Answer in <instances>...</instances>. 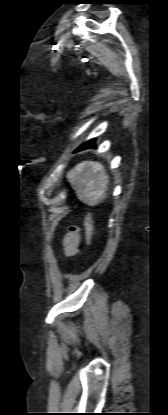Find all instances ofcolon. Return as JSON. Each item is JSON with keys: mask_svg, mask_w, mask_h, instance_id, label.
Instances as JSON below:
<instances>
[{"mask_svg": "<svg viewBox=\"0 0 168 415\" xmlns=\"http://www.w3.org/2000/svg\"><path fill=\"white\" fill-rule=\"evenodd\" d=\"M86 237L89 245H92L94 238V225L90 214H86L85 220Z\"/></svg>", "mask_w": 168, "mask_h": 415, "instance_id": "1", "label": "colon"}]
</instances>
